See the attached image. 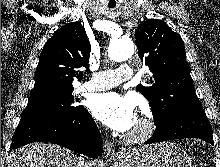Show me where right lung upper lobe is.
I'll list each match as a JSON object with an SVG mask.
<instances>
[{
    "instance_id": "obj_1",
    "label": "right lung upper lobe",
    "mask_w": 220,
    "mask_h": 167,
    "mask_svg": "<svg viewBox=\"0 0 220 167\" xmlns=\"http://www.w3.org/2000/svg\"><path fill=\"white\" fill-rule=\"evenodd\" d=\"M90 48L80 23H69L57 30L43 47L29 99L73 88V80L83 76L79 68L89 66Z\"/></svg>"
}]
</instances>
